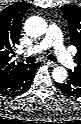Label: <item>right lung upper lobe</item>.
<instances>
[{
	"instance_id": "obj_1",
	"label": "right lung upper lobe",
	"mask_w": 81,
	"mask_h": 124,
	"mask_svg": "<svg viewBox=\"0 0 81 124\" xmlns=\"http://www.w3.org/2000/svg\"><path fill=\"white\" fill-rule=\"evenodd\" d=\"M30 7L29 3L17 2L0 12V84L26 65L11 59L14 57L15 45L19 42L22 17Z\"/></svg>"
}]
</instances>
